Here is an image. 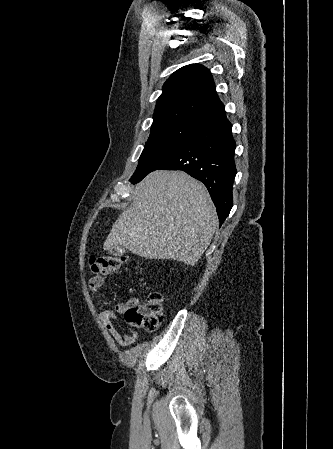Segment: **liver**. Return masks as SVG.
<instances>
[{"mask_svg": "<svg viewBox=\"0 0 333 449\" xmlns=\"http://www.w3.org/2000/svg\"><path fill=\"white\" fill-rule=\"evenodd\" d=\"M218 225L206 187L183 171H154L112 226L104 250L125 248L148 259L195 265Z\"/></svg>", "mask_w": 333, "mask_h": 449, "instance_id": "liver-1", "label": "liver"}]
</instances>
